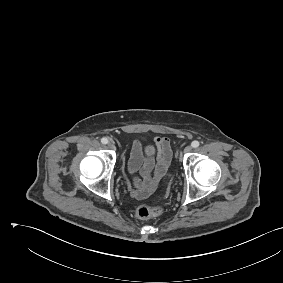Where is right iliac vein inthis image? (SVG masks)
I'll list each match as a JSON object with an SVG mask.
<instances>
[{"instance_id": "1", "label": "right iliac vein", "mask_w": 283, "mask_h": 283, "mask_svg": "<svg viewBox=\"0 0 283 283\" xmlns=\"http://www.w3.org/2000/svg\"><path fill=\"white\" fill-rule=\"evenodd\" d=\"M108 148L111 149V150H115L116 149L115 144L113 142H109L108 143Z\"/></svg>"}]
</instances>
